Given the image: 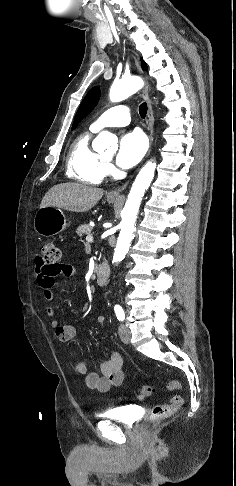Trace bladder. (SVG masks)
<instances>
[{
    "instance_id": "31cf9c89",
    "label": "bladder",
    "mask_w": 236,
    "mask_h": 486,
    "mask_svg": "<svg viewBox=\"0 0 236 486\" xmlns=\"http://www.w3.org/2000/svg\"><path fill=\"white\" fill-rule=\"evenodd\" d=\"M136 414L137 410L133 406H119L101 412L99 417L126 425H132L136 421Z\"/></svg>"
}]
</instances>
